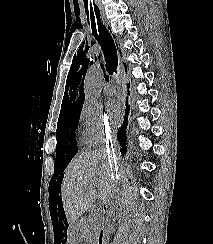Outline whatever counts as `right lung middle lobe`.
I'll return each mask as SVG.
<instances>
[{"mask_svg": "<svg viewBox=\"0 0 213 244\" xmlns=\"http://www.w3.org/2000/svg\"><path fill=\"white\" fill-rule=\"evenodd\" d=\"M81 107L60 113L57 124V146L54 176L51 182L58 180L57 171L66 168L73 156L77 153L78 147L75 137L76 126L80 117Z\"/></svg>", "mask_w": 213, "mask_h": 244, "instance_id": "1", "label": "right lung middle lobe"}]
</instances>
